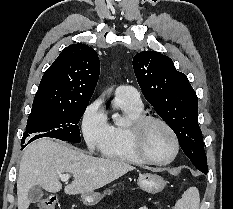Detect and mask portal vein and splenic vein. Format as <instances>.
Segmentation results:
<instances>
[{"label": "portal vein and splenic vein", "mask_w": 233, "mask_h": 209, "mask_svg": "<svg viewBox=\"0 0 233 209\" xmlns=\"http://www.w3.org/2000/svg\"><path fill=\"white\" fill-rule=\"evenodd\" d=\"M70 178L69 174H61L60 179L62 181H67Z\"/></svg>", "instance_id": "1"}]
</instances>
